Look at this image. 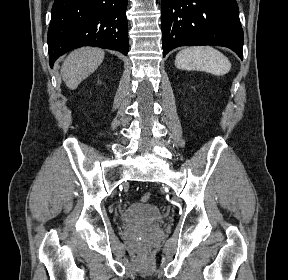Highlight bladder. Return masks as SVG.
<instances>
[{
    "label": "bladder",
    "instance_id": "obj_1",
    "mask_svg": "<svg viewBox=\"0 0 288 280\" xmlns=\"http://www.w3.org/2000/svg\"><path fill=\"white\" fill-rule=\"evenodd\" d=\"M120 218L129 225L147 228L161 221L162 212L152 204L133 203L122 211Z\"/></svg>",
    "mask_w": 288,
    "mask_h": 280
}]
</instances>
